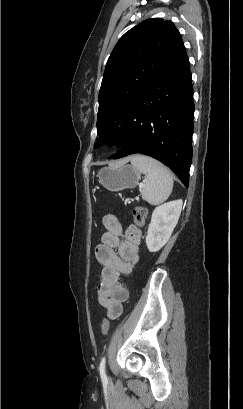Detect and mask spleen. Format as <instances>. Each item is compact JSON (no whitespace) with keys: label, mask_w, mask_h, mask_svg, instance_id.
<instances>
[{"label":"spleen","mask_w":243,"mask_h":409,"mask_svg":"<svg viewBox=\"0 0 243 409\" xmlns=\"http://www.w3.org/2000/svg\"><path fill=\"white\" fill-rule=\"evenodd\" d=\"M131 164L147 176L142 198L152 205H158L168 199L173 188V177L160 162L144 155L130 157Z\"/></svg>","instance_id":"3e777b00"}]
</instances>
